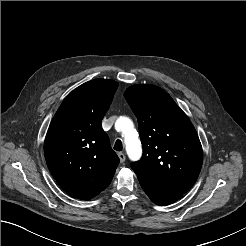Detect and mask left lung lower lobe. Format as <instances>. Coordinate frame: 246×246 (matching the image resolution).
Masks as SVG:
<instances>
[{"label": "left lung lower lobe", "instance_id": "0a47b994", "mask_svg": "<svg viewBox=\"0 0 246 246\" xmlns=\"http://www.w3.org/2000/svg\"><path fill=\"white\" fill-rule=\"evenodd\" d=\"M140 185L148 197L157 205H168L182 197V193L160 187L147 180L139 179Z\"/></svg>", "mask_w": 246, "mask_h": 246}]
</instances>
